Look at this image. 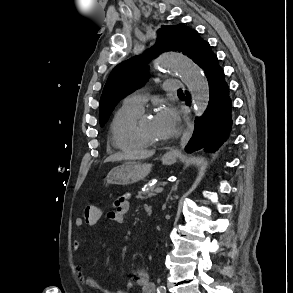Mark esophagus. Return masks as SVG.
<instances>
[{
  "mask_svg": "<svg viewBox=\"0 0 293 293\" xmlns=\"http://www.w3.org/2000/svg\"><path fill=\"white\" fill-rule=\"evenodd\" d=\"M185 145V135L183 136L182 140H181V148H183ZM179 153V151H172L169 154L170 155H177Z\"/></svg>",
  "mask_w": 293,
  "mask_h": 293,
  "instance_id": "obj_1",
  "label": "esophagus"
}]
</instances>
